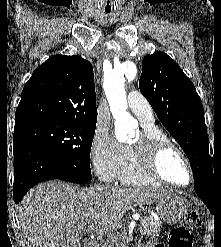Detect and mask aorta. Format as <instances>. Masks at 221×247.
<instances>
[{
	"label": "aorta",
	"instance_id": "obj_1",
	"mask_svg": "<svg viewBox=\"0 0 221 247\" xmlns=\"http://www.w3.org/2000/svg\"><path fill=\"white\" fill-rule=\"evenodd\" d=\"M136 74L135 64L126 63L114 68L104 78L103 88L111 113L115 118V136L119 142H125L133 136L138 126L137 121L127 112V99L124 88L126 75L130 78H135Z\"/></svg>",
	"mask_w": 221,
	"mask_h": 247
}]
</instances>
